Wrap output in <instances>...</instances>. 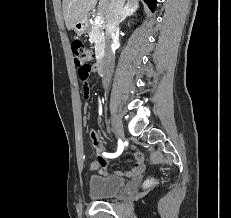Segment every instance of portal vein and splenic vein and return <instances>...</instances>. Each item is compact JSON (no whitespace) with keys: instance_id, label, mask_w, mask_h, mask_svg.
Wrapping results in <instances>:
<instances>
[{"instance_id":"portal-vein-and-splenic-vein-1","label":"portal vein and splenic vein","mask_w":231,"mask_h":218,"mask_svg":"<svg viewBox=\"0 0 231 218\" xmlns=\"http://www.w3.org/2000/svg\"><path fill=\"white\" fill-rule=\"evenodd\" d=\"M94 23L96 25H101L103 23V19L100 15L96 16L95 19H94Z\"/></svg>"}]
</instances>
